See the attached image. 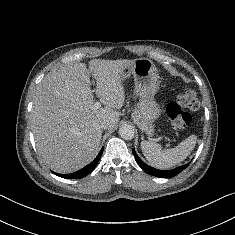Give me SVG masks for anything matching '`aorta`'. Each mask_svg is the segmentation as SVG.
Wrapping results in <instances>:
<instances>
[{
    "instance_id": "1",
    "label": "aorta",
    "mask_w": 235,
    "mask_h": 235,
    "mask_svg": "<svg viewBox=\"0 0 235 235\" xmlns=\"http://www.w3.org/2000/svg\"><path fill=\"white\" fill-rule=\"evenodd\" d=\"M134 134H135V131L132 125L125 124L119 128V135L121 136V138L125 140L133 139Z\"/></svg>"
}]
</instances>
